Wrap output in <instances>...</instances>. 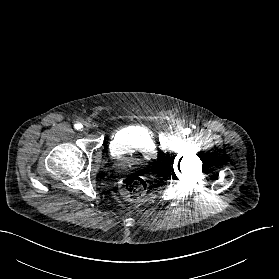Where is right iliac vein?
Wrapping results in <instances>:
<instances>
[{"mask_svg": "<svg viewBox=\"0 0 279 279\" xmlns=\"http://www.w3.org/2000/svg\"><path fill=\"white\" fill-rule=\"evenodd\" d=\"M88 130V126L86 125V128L84 129V131H87Z\"/></svg>", "mask_w": 279, "mask_h": 279, "instance_id": "right-iliac-vein-1", "label": "right iliac vein"}]
</instances>
